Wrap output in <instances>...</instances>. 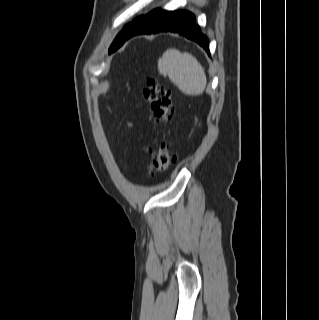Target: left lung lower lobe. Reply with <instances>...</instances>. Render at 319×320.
Instances as JSON below:
<instances>
[{"instance_id":"left-lung-lower-lobe-1","label":"left lung lower lobe","mask_w":319,"mask_h":320,"mask_svg":"<svg viewBox=\"0 0 319 320\" xmlns=\"http://www.w3.org/2000/svg\"><path fill=\"white\" fill-rule=\"evenodd\" d=\"M174 32L197 42L205 51L209 52V41L195 22V16L187 11H166L155 9L142 16L125 37V41L138 34L158 32Z\"/></svg>"}]
</instances>
